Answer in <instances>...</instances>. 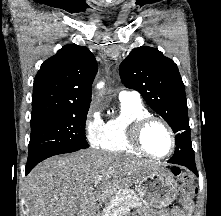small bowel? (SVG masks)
Returning a JSON list of instances; mask_svg holds the SVG:
<instances>
[{
  "label": "small bowel",
  "mask_w": 221,
  "mask_h": 216,
  "mask_svg": "<svg viewBox=\"0 0 221 216\" xmlns=\"http://www.w3.org/2000/svg\"><path fill=\"white\" fill-rule=\"evenodd\" d=\"M193 211L192 203L183 204V207H174L170 210L162 211L159 216H190Z\"/></svg>",
  "instance_id": "1"
}]
</instances>
